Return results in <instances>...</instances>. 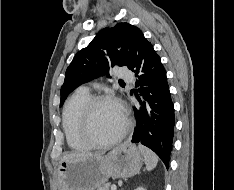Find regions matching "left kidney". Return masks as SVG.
Returning <instances> with one entry per match:
<instances>
[{
	"label": "left kidney",
	"mask_w": 234,
	"mask_h": 190,
	"mask_svg": "<svg viewBox=\"0 0 234 190\" xmlns=\"http://www.w3.org/2000/svg\"><path fill=\"white\" fill-rule=\"evenodd\" d=\"M135 190H146V189H144L143 187H138Z\"/></svg>",
	"instance_id": "left-kidney-1"
}]
</instances>
